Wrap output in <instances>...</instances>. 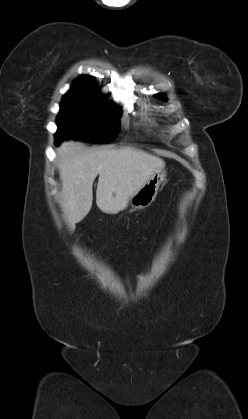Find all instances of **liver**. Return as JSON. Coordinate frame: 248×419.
<instances>
[{
    "label": "liver",
    "mask_w": 248,
    "mask_h": 419,
    "mask_svg": "<svg viewBox=\"0 0 248 419\" xmlns=\"http://www.w3.org/2000/svg\"><path fill=\"white\" fill-rule=\"evenodd\" d=\"M57 155L61 207L71 231L92 207V186L98 175L96 204L104 213L117 214L155 172L165 167L161 158L131 147L85 152L80 143L67 141L57 149Z\"/></svg>",
    "instance_id": "obj_1"
}]
</instances>
